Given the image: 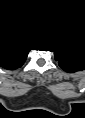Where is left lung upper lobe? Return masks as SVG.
Instances as JSON below:
<instances>
[{
    "mask_svg": "<svg viewBox=\"0 0 85 118\" xmlns=\"http://www.w3.org/2000/svg\"><path fill=\"white\" fill-rule=\"evenodd\" d=\"M70 55H65V56H61L60 59H61V66L63 68H68L66 67L65 65L67 64L68 60H67V57H69Z\"/></svg>",
    "mask_w": 85,
    "mask_h": 118,
    "instance_id": "obj_1",
    "label": "left lung upper lobe"
}]
</instances>
